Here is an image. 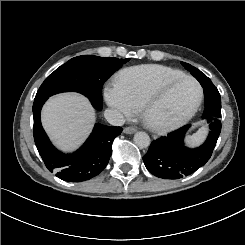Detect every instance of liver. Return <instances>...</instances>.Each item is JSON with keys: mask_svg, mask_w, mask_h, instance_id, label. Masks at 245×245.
<instances>
[{"mask_svg": "<svg viewBox=\"0 0 245 245\" xmlns=\"http://www.w3.org/2000/svg\"><path fill=\"white\" fill-rule=\"evenodd\" d=\"M41 116L44 129L63 151L77 148L90 133L96 119L95 110L88 99L77 93L50 98Z\"/></svg>", "mask_w": 245, "mask_h": 245, "instance_id": "6515ba94", "label": "liver"}]
</instances>
